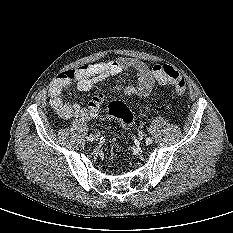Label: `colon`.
<instances>
[{
    "mask_svg": "<svg viewBox=\"0 0 233 233\" xmlns=\"http://www.w3.org/2000/svg\"><path fill=\"white\" fill-rule=\"evenodd\" d=\"M156 80L160 84L170 83L178 94L186 92V82L182 75L170 65L159 64L153 67ZM108 115L118 118L123 126L128 127L134 122V115L122 101H112L108 106Z\"/></svg>",
    "mask_w": 233,
    "mask_h": 233,
    "instance_id": "1",
    "label": "colon"
}]
</instances>
